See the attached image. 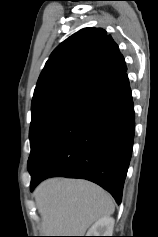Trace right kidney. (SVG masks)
<instances>
[{
    "label": "right kidney",
    "instance_id": "ca27d5eb",
    "mask_svg": "<svg viewBox=\"0 0 158 237\" xmlns=\"http://www.w3.org/2000/svg\"><path fill=\"white\" fill-rule=\"evenodd\" d=\"M114 219L103 217L98 220L87 232L86 236H112Z\"/></svg>",
    "mask_w": 158,
    "mask_h": 237
}]
</instances>
